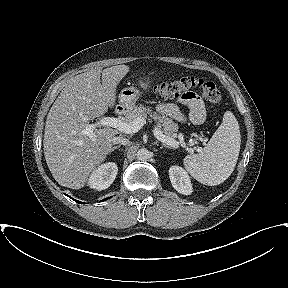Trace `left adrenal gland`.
Returning <instances> with one entry per match:
<instances>
[{"instance_id": "1", "label": "left adrenal gland", "mask_w": 288, "mask_h": 288, "mask_svg": "<svg viewBox=\"0 0 288 288\" xmlns=\"http://www.w3.org/2000/svg\"><path fill=\"white\" fill-rule=\"evenodd\" d=\"M162 148H168V149H171V147L168 146V145H166V144H163V145L160 147V149H162Z\"/></svg>"}]
</instances>
